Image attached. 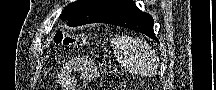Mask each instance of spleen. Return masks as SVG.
I'll return each mask as SVG.
<instances>
[{
    "mask_svg": "<svg viewBox=\"0 0 216 90\" xmlns=\"http://www.w3.org/2000/svg\"><path fill=\"white\" fill-rule=\"evenodd\" d=\"M113 50L126 72H131V74L148 76L149 70L156 60L150 46L139 38L119 36L113 42Z\"/></svg>",
    "mask_w": 216,
    "mask_h": 90,
    "instance_id": "3e777b00",
    "label": "spleen"
}]
</instances>
